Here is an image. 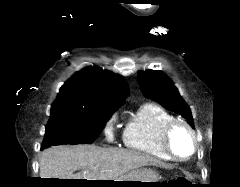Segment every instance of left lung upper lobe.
Wrapping results in <instances>:
<instances>
[{
    "instance_id": "5c2ea615",
    "label": "left lung upper lobe",
    "mask_w": 240,
    "mask_h": 187,
    "mask_svg": "<svg viewBox=\"0 0 240 187\" xmlns=\"http://www.w3.org/2000/svg\"><path fill=\"white\" fill-rule=\"evenodd\" d=\"M138 81L143 94L163 107L180 114L193 127V118L189 106L180 96L173 82L160 71H139Z\"/></svg>"
}]
</instances>
